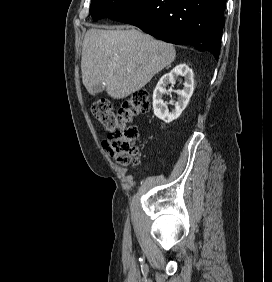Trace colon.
Instances as JSON below:
<instances>
[{"label": "colon", "mask_w": 272, "mask_h": 282, "mask_svg": "<svg viewBox=\"0 0 272 282\" xmlns=\"http://www.w3.org/2000/svg\"><path fill=\"white\" fill-rule=\"evenodd\" d=\"M90 108L93 116L110 131L103 140L110 156L123 166L138 164L139 149L136 141L140 131L131 121L135 116L150 110L147 92H134L117 110L108 100L93 102Z\"/></svg>", "instance_id": "1"}]
</instances>
